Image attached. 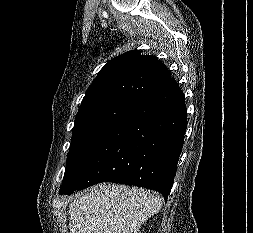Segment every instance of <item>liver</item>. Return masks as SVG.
<instances>
[{"label": "liver", "mask_w": 253, "mask_h": 233, "mask_svg": "<svg viewBox=\"0 0 253 233\" xmlns=\"http://www.w3.org/2000/svg\"><path fill=\"white\" fill-rule=\"evenodd\" d=\"M161 207L162 198L143 188L93 186L69 205L70 233H138Z\"/></svg>", "instance_id": "1"}]
</instances>
